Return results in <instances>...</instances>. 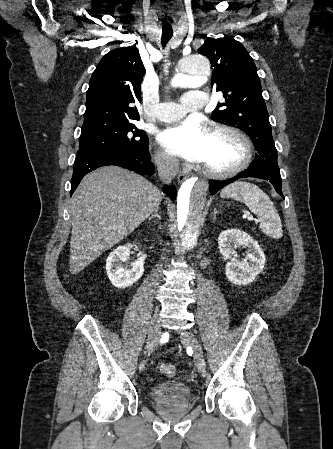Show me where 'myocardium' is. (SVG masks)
Masks as SVG:
<instances>
[{"label":"myocardium","mask_w":333,"mask_h":449,"mask_svg":"<svg viewBox=\"0 0 333 449\" xmlns=\"http://www.w3.org/2000/svg\"><path fill=\"white\" fill-rule=\"evenodd\" d=\"M209 133L225 135L236 140L241 146L242 154L240 160L235 165L226 169H212L205 165H201V169L207 176L214 179H227L237 175L249 166L253 157V146L247 135L240 130L224 125H214L210 127Z\"/></svg>","instance_id":"1"}]
</instances>
